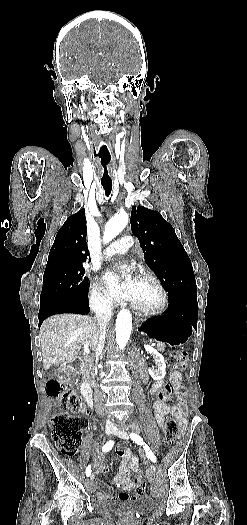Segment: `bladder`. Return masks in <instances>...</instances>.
Listing matches in <instances>:
<instances>
[{"label":"bladder","instance_id":"1","mask_svg":"<svg viewBox=\"0 0 247 525\" xmlns=\"http://www.w3.org/2000/svg\"><path fill=\"white\" fill-rule=\"evenodd\" d=\"M155 504V497L152 494L142 493L134 498L111 500L109 511L120 518H135L149 513Z\"/></svg>","mask_w":247,"mask_h":525}]
</instances>
